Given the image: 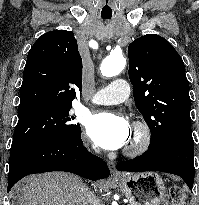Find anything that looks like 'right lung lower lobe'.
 Wrapping results in <instances>:
<instances>
[{"mask_svg":"<svg viewBox=\"0 0 199 205\" xmlns=\"http://www.w3.org/2000/svg\"><path fill=\"white\" fill-rule=\"evenodd\" d=\"M9 166L8 192L29 174L66 171L93 181L107 178L110 174L106 162L83 146L81 136L51 139L10 152Z\"/></svg>","mask_w":199,"mask_h":205,"instance_id":"obj_1","label":"right lung lower lobe"}]
</instances>
